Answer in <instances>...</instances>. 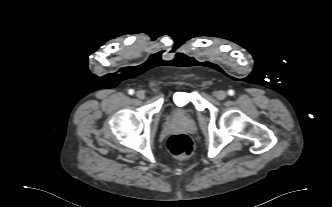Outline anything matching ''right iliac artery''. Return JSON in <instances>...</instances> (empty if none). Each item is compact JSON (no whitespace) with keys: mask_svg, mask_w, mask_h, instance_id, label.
<instances>
[{"mask_svg":"<svg viewBox=\"0 0 332 207\" xmlns=\"http://www.w3.org/2000/svg\"><path fill=\"white\" fill-rule=\"evenodd\" d=\"M128 93H129L130 95H133V94H134V90H133V89H130V90L128 91Z\"/></svg>","mask_w":332,"mask_h":207,"instance_id":"82829eb1","label":"right iliac artery"}]
</instances>
